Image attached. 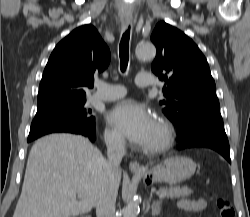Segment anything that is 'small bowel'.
<instances>
[{
	"label": "small bowel",
	"mask_w": 250,
	"mask_h": 217,
	"mask_svg": "<svg viewBox=\"0 0 250 217\" xmlns=\"http://www.w3.org/2000/svg\"><path fill=\"white\" fill-rule=\"evenodd\" d=\"M179 207L190 213L201 212L206 208V201L202 198L198 199H182L178 203Z\"/></svg>",
	"instance_id": "obj_1"
}]
</instances>
